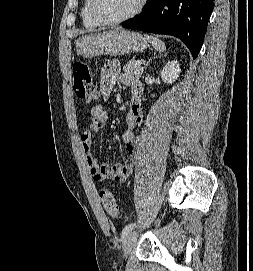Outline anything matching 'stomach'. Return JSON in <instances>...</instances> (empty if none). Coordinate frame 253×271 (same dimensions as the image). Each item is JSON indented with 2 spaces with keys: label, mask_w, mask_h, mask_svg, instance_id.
<instances>
[{
  "label": "stomach",
  "mask_w": 253,
  "mask_h": 271,
  "mask_svg": "<svg viewBox=\"0 0 253 271\" xmlns=\"http://www.w3.org/2000/svg\"><path fill=\"white\" fill-rule=\"evenodd\" d=\"M147 45V40L140 33L115 29L81 37L76 42V50L84 58H92L140 52L146 49Z\"/></svg>",
  "instance_id": "0dacf381"
}]
</instances>
